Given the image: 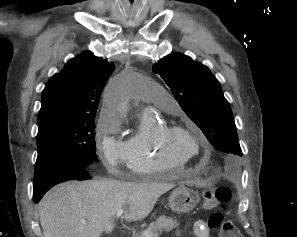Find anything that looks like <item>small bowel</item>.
Segmentation results:
<instances>
[{
    "label": "small bowel",
    "instance_id": "c3829d8e",
    "mask_svg": "<svg viewBox=\"0 0 297 237\" xmlns=\"http://www.w3.org/2000/svg\"><path fill=\"white\" fill-rule=\"evenodd\" d=\"M194 233L196 237H211L210 229L204 220H198L195 222Z\"/></svg>",
    "mask_w": 297,
    "mask_h": 237
}]
</instances>
